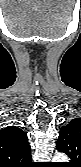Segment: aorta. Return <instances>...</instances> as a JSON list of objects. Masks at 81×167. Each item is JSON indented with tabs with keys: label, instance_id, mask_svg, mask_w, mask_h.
<instances>
[{
	"label": "aorta",
	"instance_id": "aorta-1",
	"mask_svg": "<svg viewBox=\"0 0 81 167\" xmlns=\"http://www.w3.org/2000/svg\"><path fill=\"white\" fill-rule=\"evenodd\" d=\"M54 162H67L68 158L65 154L58 153L53 158Z\"/></svg>",
	"mask_w": 81,
	"mask_h": 167
}]
</instances>
